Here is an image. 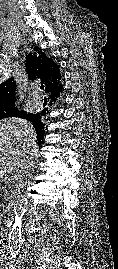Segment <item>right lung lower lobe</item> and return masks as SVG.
<instances>
[{"label":"right lung lower lobe","instance_id":"1","mask_svg":"<svg viewBox=\"0 0 118 269\" xmlns=\"http://www.w3.org/2000/svg\"><path fill=\"white\" fill-rule=\"evenodd\" d=\"M42 138H43V137H42ZM38 140H39V137H38ZM41 140H42V139H40V140H39V141H40V143H41Z\"/></svg>","mask_w":118,"mask_h":269}]
</instances>
